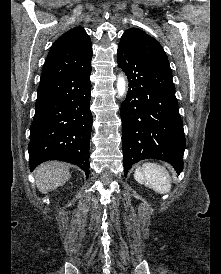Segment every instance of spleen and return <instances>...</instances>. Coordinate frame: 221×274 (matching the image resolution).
Instances as JSON below:
<instances>
[{"label": "spleen", "instance_id": "3e777b00", "mask_svg": "<svg viewBox=\"0 0 221 274\" xmlns=\"http://www.w3.org/2000/svg\"><path fill=\"white\" fill-rule=\"evenodd\" d=\"M134 179L157 193H168L171 189V180L167 170L155 163H146L134 172Z\"/></svg>", "mask_w": 221, "mask_h": 274}]
</instances>
